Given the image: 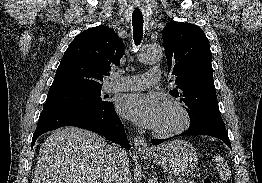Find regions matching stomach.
Here are the masks:
<instances>
[{
  "mask_svg": "<svg viewBox=\"0 0 262 183\" xmlns=\"http://www.w3.org/2000/svg\"><path fill=\"white\" fill-rule=\"evenodd\" d=\"M166 172L178 176L191 173L198 164V155L192 144L183 140H174L144 153Z\"/></svg>",
  "mask_w": 262,
  "mask_h": 183,
  "instance_id": "0dacf381",
  "label": "stomach"
}]
</instances>
